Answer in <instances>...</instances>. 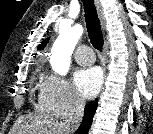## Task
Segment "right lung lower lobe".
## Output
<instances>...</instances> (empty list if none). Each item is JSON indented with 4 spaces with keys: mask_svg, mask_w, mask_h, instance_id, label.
<instances>
[{
    "mask_svg": "<svg viewBox=\"0 0 153 134\" xmlns=\"http://www.w3.org/2000/svg\"><path fill=\"white\" fill-rule=\"evenodd\" d=\"M97 105H98V99H96L95 101H92L86 106L84 110V117H83L82 123L76 132L77 134H87L88 133V130L93 121L92 119L96 111Z\"/></svg>",
    "mask_w": 153,
    "mask_h": 134,
    "instance_id": "obj_1",
    "label": "right lung lower lobe"
}]
</instances>
